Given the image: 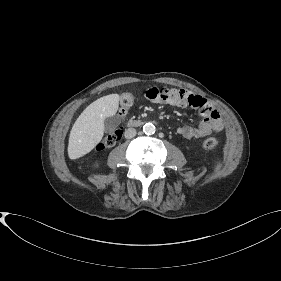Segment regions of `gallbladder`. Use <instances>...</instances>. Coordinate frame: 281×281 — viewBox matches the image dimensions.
Here are the masks:
<instances>
[{"label":"gallbladder","instance_id":"bac80fb5","mask_svg":"<svg viewBox=\"0 0 281 281\" xmlns=\"http://www.w3.org/2000/svg\"><path fill=\"white\" fill-rule=\"evenodd\" d=\"M121 122V119L119 116L115 115V116H111V117H107L104 120V129L106 132H111L113 131Z\"/></svg>","mask_w":281,"mask_h":281}]
</instances>
